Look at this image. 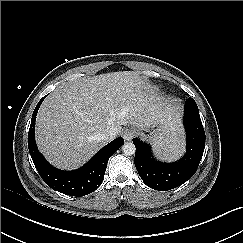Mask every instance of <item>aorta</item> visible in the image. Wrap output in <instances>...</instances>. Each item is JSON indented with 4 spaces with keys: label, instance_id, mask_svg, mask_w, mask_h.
Segmentation results:
<instances>
[{
    "label": "aorta",
    "instance_id": "762f6f07",
    "mask_svg": "<svg viewBox=\"0 0 243 243\" xmlns=\"http://www.w3.org/2000/svg\"><path fill=\"white\" fill-rule=\"evenodd\" d=\"M122 151L125 155L131 156V155L135 154L136 147L132 142H126L122 146Z\"/></svg>",
    "mask_w": 243,
    "mask_h": 243
}]
</instances>
